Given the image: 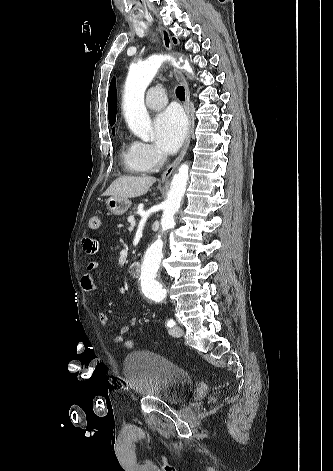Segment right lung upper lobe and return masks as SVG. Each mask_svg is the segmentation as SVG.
<instances>
[{"mask_svg":"<svg viewBox=\"0 0 333 471\" xmlns=\"http://www.w3.org/2000/svg\"><path fill=\"white\" fill-rule=\"evenodd\" d=\"M116 98H117L116 84H115V78H113L111 81V84L109 87V93H108V117H109L110 125H114L116 121Z\"/></svg>","mask_w":333,"mask_h":471,"instance_id":"1","label":"right lung upper lobe"}]
</instances>
